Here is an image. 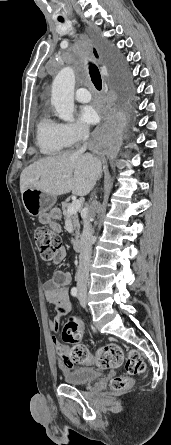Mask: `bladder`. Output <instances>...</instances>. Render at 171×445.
<instances>
[{
  "instance_id": "obj_1",
  "label": "bladder",
  "mask_w": 171,
  "mask_h": 445,
  "mask_svg": "<svg viewBox=\"0 0 171 445\" xmlns=\"http://www.w3.org/2000/svg\"><path fill=\"white\" fill-rule=\"evenodd\" d=\"M102 371L94 367L75 368L63 374L65 383L71 385H87L100 379Z\"/></svg>"
}]
</instances>
